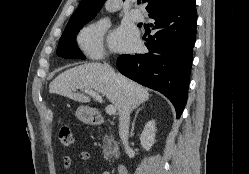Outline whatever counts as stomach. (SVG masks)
<instances>
[{"mask_svg": "<svg viewBox=\"0 0 249 174\" xmlns=\"http://www.w3.org/2000/svg\"><path fill=\"white\" fill-rule=\"evenodd\" d=\"M76 117L84 123H90L93 119V111L87 106H80L76 110Z\"/></svg>", "mask_w": 249, "mask_h": 174, "instance_id": "obj_1", "label": "stomach"}]
</instances>
